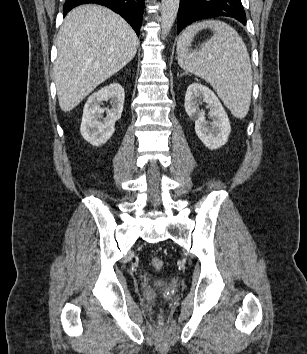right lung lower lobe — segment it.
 I'll return each mask as SVG.
<instances>
[{"instance_id":"right-lung-lower-lobe-1","label":"right lung lower lobe","mask_w":307,"mask_h":354,"mask_svg":"<svg viewBox=\"0 0 307 354\" xmlns=\"http://www.w3.org/2000/svg\"><path fill=\"white\" fill-rule=\"evenodd\" d=\"M85 3L100 4L117 12L132 26L139 36L144 0H66L63 6V15L65 16L72 8Z\"/></svg>"}]
</instances>
